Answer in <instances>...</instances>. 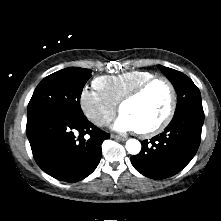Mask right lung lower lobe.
I'll return each instance as SVG.
<instances>
[{"label":"right lung lower lobe","instance_id":"obj_1","mask_svg":"<svg viewBox=\"0 0 221 221\" xmlns=\"http://www.w3.org/2000/svg\"><path fill=\"white\" fill-rule=\"evenodd\" d=\"M26 133L38 166L65 182L89 176L100 162L102 142L110 138L84 114L67 112L27 119Z\"/></svg>","mask_w":221,"mask_h":221}]
</instances>
